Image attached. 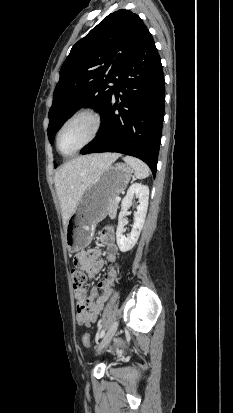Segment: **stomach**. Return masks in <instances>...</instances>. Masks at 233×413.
<instances>
[{
  "label": "stomach",
  "instance_id": "1",
  "mask_svg": "<svg viewBox=\"0 0 233 413\" xmlns=\"http://www.w3.org/2000/svg\"><path fill=\"white\" fill-rule=\"evenodd\" d=\"M132 169L117 163L101 171L85 189L75 211L64 226L68 251L75 253L91 242L96 225L108 213L107 207L127 187Z\"/></svg>",
  "mask_w": 233,
  "mask_h": 413
}]
</instances>
